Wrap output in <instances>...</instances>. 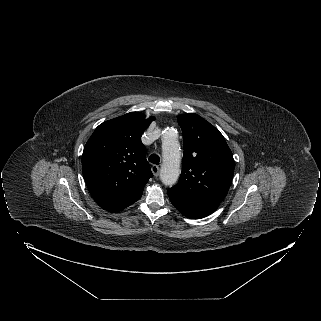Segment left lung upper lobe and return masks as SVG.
<instances>
[{
	"label": "left lung upper lobe",
	"instance_id": "obj_1",
	"mask_svg": "<svg viewBox=\"0 0 321 321\" xmlns=\"http://www.w3.org/2000/svg\"><path fill=\"white\" fill-rule=\"evenodd\" d=\"M183 132V161L178 183L171 190L188 198L219 204L234 173V159L217 128L197 114L177 117Z\"/></svg>",
	"mask_w": 321,
	"mask_h": 321
}]
</instances>
